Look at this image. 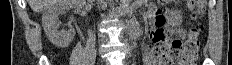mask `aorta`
<instances>
[{"mask_svg":"<svg viewBox=\"0 0 232 65\" xmlns=\"http://www.w3.org/2000/svg\"><path fill=\"white\" fill-rule=\"evenodd\" d=\"M131 0H121L123 7H128Z\"/></svg>","mask_w":232,"mask_h":65,"instance_id":"aorta-1","label":"aorta"}]
</instances>
